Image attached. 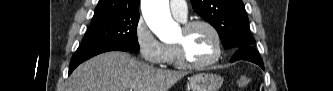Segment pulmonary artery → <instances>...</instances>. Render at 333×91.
<instances>
[{
    "label": "pulmonary artery",
    "instance_id": "e3ab8cb5",
    "mask_svg": "<svg viewBox=\"0 0 333 91\" xmlns=\"http://www.w3.org/2000/svg\"><path fill=\"white\" fill-rule=\"evenodd\" d=\"M170 11L175 18L186 20L188 10L185 1H170Z\"/></svg>",
    "mask_w": 333,
    "mask_h": 91
}]
</instances>
